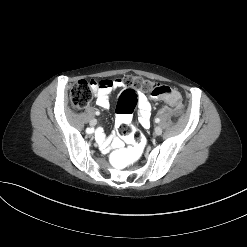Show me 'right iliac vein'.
I'll list each match as a JSON object with an SVG mask.
<instances>
[{
    "label": "right iliac vein",
    "instance_id": "right-iliac-vein-1",
    "mask_svg": "<svg viewBox=\"0 0 247 247\" xmlns=\"http://www.w3.org/2000/svg\"><path fill=\"white\" fill-rule=\"evenodd\" d=\"M97 124V120L96 119H92L91 121H90V126H95Z\"/></svg>",
    "mask_w": 247,
    "mask_h": 247
}]
</instances>
